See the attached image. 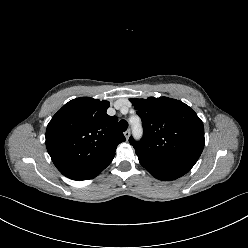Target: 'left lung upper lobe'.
I'll return each instance as SVG.
<instances>
[{
    "label": "left lung upper lobe",
    "mask_w": 248,
    "mask_h": 248,
    "mask_svg": "<svg viewBox=\"0 0 248 248\" xmlns=\"http://www.w3.org/2000/svg\"><path fill=\"white\" fill-rule=\"evenodd\" d=\"M142 120L144 135L135 148L149 172L181 177L197 162L204 148V126L185 103L167 97L130 99Z\"/></svg>",
    "instance_id": "left-lung-upper-lobe-1"
}]
</instances>
